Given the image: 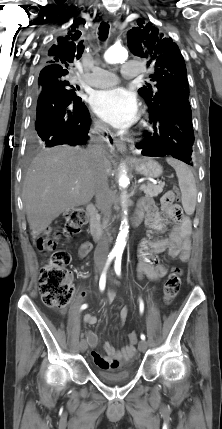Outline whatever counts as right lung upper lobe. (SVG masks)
<instances>
[{"label": "right lung upper lobe", "mask_w": 222, "mask_h": 429, "mask_svg": "<svg viewBox=\"0 0 222 429\" xmlns=\"http://www.w3.org/2000/svg\"><path fill=\"white\" fill-rule=\"evenodd\" d=\"M81 32L75 27L65 35L58 37L57 41L46 52V63L40 75H67L71 64L79 59L84 51Z\"/></svg>", "instance_id": "1"}]
</instances>
